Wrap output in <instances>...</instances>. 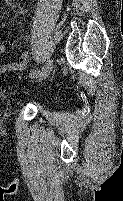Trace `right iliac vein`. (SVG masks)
<instances>
[{
    "label": "right iliac vein",
    "instance_id": "63e3f726",
    "mask_svg": "<svg viewBox=\"0 0 123 201\" xmlns=\"http://www.w3.org/2000/svg\"><path fill=\"white\" fill-rule=\"evenodd\" d=\"M52 66H53V60H48L46 64L43 66L41 72L36 77H34L33 83L40 82L43 79H45L51 72Z\"/></svg>",
    "mask_w": 123,
    "mask_h": 201
}]
</instances>
